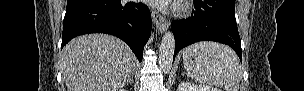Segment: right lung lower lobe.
I'll return each mask as SVG.
<instances>
[{
	"label": "right lung lower lobe",
	"instance_id": "obj_1",
	"mask_svg": "<svg viewBox=\"0 0 304 91\" xmlns=\"http://www.w3.org/2000/svg\"><path fill=\"white\" fill-rule=\"evenodd\" d=\"M87 33H107L122 39L141 61L151 34L150 10L143 3L124 0H68L61 47Z\"/></svg>",
	"mask_w": 304,
	"mask_h": 91
}]
</instances>
